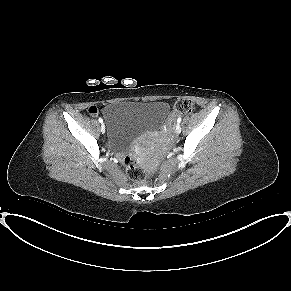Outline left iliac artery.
<instances>
[{
	"label": "left iliac artery",
	"instance_id": "1",
	"mask_svg": "<svg viewBox=\"0 0 291 291\" xmlns=\"http://www.w3.org/2000/svg\"><path fill=\"white\" fill-rule=\"evenodd\" d=\"M181 117H179L178 119H177V123L179 124L180 122H181Z\"/></svg>",
	"mask_w": 291,
	"mask_h": 291
}]
</instances>
